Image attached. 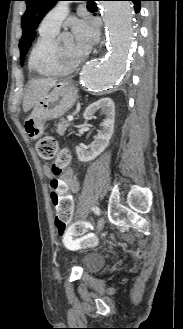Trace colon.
Returning <instances> with one entry per match:
<instances>
[{"label": "colon", "mask_w": 183, "mask_h": 329, "mask_svg": "<svg viewBox=\"0 0 183 329\" xmlns=\"http://www.w3.org/2000/svg\"><path fill=\"white\" fill-rule=\"evenodd\" d=\"M38 155L46 160H54L52 170L54 174L60 173L65 166L69 163V152L67 150H61L58 152L57 141L52 136H44L40 138L36 145ZM72 218H55V224L62 240L79 236L84 231H91V224H84L83 222H75L71 225ZM94 241L91 235L82 237L80 242L82 244ZM79 242V243H80Z\"/></svg>", "instance_id": "colon-1"}]
</instances>
